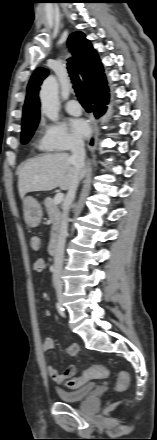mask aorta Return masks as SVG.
<instances>
[{"instance_id":"obj_1","label":"aorta","mask_w":157,"mask_h":440,"mask_svg":"<svg viewBox=\"0 0 157 440\" xmlns=\"http://www.w3.org/2000/svg\"><path fill=\"white\" fill-rule=\"evenodd\" d=\"M41 110L51 121L59 116L58 82L56 77H47L40 90Z\"/></svg>"}]
</instances>
